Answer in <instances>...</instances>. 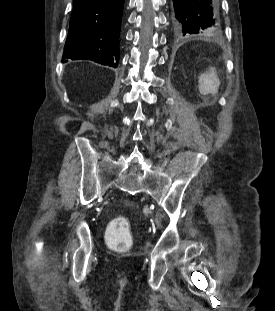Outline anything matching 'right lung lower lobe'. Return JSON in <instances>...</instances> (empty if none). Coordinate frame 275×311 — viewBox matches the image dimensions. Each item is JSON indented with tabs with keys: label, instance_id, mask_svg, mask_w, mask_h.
Returning <instances> with one entry per match:
<instances>
[{
	"label": "right lung lower lobe",
	"instance_id": "1",
	"mask_svg": "<svg viewBox=\"0 0 275 311\" xmlns=\"http://www.w3.org/2000/svg\"><path fill=\"white\" fill-rule=\"evenodd\" d=\"M124 0H74L63 62L92 60L117 67Z\"/></svg>",
	"mask_w": 275,
	"mask_h": 311
}]
</instances>
